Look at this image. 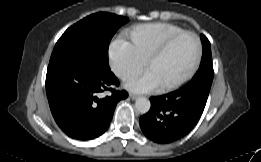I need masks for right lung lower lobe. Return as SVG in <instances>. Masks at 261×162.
I'll use <instances>...</instances> for the list:
<instances>
[{
    "label": "right lung lower lobe",
    "instance_id": "98d812e1",
    "mask_svg": "<svg viewBox=\"0 0 261 162\" xmlns=\"http://www.w3.org/2000/svg\"><path fill=\"white\" fill-rule=\"evenodd\" d=\"M119 81L109 65L90 56H75L49 64L46 93L58 126L78 140L102 135L109 127L116 104L128 96L126 91L109 88ZM105 90L112 95L98 98Z\"/></svg>",
    "mask_w": 261,
    "mask_h": 162
}]
</instances>
